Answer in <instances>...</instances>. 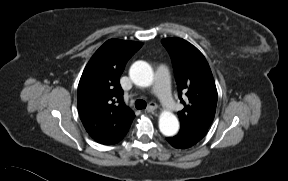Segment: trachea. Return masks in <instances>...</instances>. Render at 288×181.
I'll return each mask as SVG.
<instances>
[{"instance_id":"obj_1","label":"trachea","mask_w":288,"mask_h":181,"mask_svg":"<svg viewBox=\"0 0 288 181\" xmlns=\"http://www.w3.org/2000/svg\"><path fill=\"white\" fill-rule=\"evenodd\" d=\"M146 106H147V104H146V102L144 101V100H141V99H139V100H137L136 102H135V107L137 108V109H145L146 108Z\"/></svg>"}]
</instances>
